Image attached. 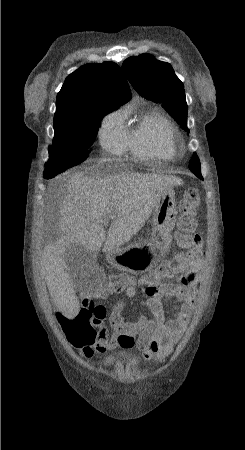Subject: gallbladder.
I'll return each instance as SVG.
<instances>
[{
    "label": "gallbladder",
    "mask_w": 245,
    "mask_h": 450,
    "mask_svg": "<svg viewBox=\"0 0 245 450\" xmlns=\"http://www.w3.org/2000/svg\"><path fill=\"white\" fill-rule=\"evenodd\" d=\"M65 261L74 285L78 287L80 275L96 264L97 254L89 252L78 244H73L65 252Z\"/></svg>",
    "instance_id": "1"
}]
</instances>
